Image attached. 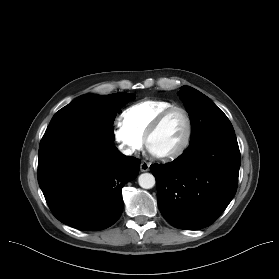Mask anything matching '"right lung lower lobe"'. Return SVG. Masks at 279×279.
Instances as JSON below:
<instances>
[{
    "label": "right lung lower lobe",
    "mask_w": 279,
    "mask_h": 279,
    "mask_svg": "<svg viewBox=\"0 0 279 279\" xmlns=\"http://www.w3.org/2000/svg\"><path fill=\"white\" fill-rule=\"evenodd\" d=\"M140 161L83 127L45 133L38 156V182L54 216L80 230L113 225L123 211L121 190L135 179Z\"/></svg>",
    "instance_id": "right-lung-lower-lobe-1"
}]
</instances>
